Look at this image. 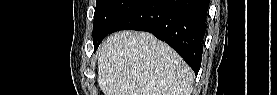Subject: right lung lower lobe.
<instances>
[{"instance_id":"obj_1","label":"right lung lower lobe","mask_w":277,"mask_h":95,"mask_svg":"<svg viewBox=\"0 0 277 95\" xmlns=\"http://www.w3.org/2000/svg\"><path fill=\"white\" fill-rule=\"evenodd\" d=\"M208 0H144L110 33L147 31L174 48L197 75L202 59Z\"/></svg>"}]
</instances>
